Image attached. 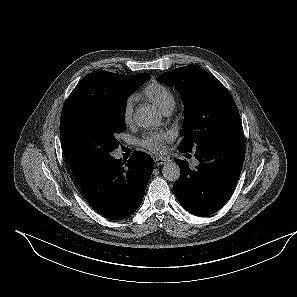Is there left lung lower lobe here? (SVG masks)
Segmentation results:
<instances>
[{
	"label": "left lung lower lobe",
	"instance_id": "1",
	"mask_svg": "<svg viewBox=\"0 0 297 297\" xmlns=\"http://www.w3.org/2000/svg\"><path fill=\"white\" fill-rule=\"evenodd\" d=\"M195 158L200 164L194 170L186 161L175 160L181 175L173 189L177 200L188 212L207 216L218 211L234 191L244 158L242 133L196 150Z\"/></svg>",
	"mask_w": 297,
	"mask_h": 297
}]
</instances>
